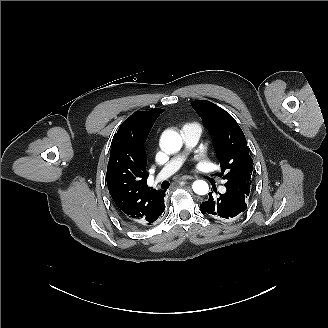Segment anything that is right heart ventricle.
Segmentation results:
<instances>
[{
  "label": "right heart ventricle",
  "instance_id": "e07e8e85",
  "mask_svg": "<svg viewBox=\"0 0 328 328\" xmlns=\"http://www.w3.org/2000/svg\"><path fill=\"white\" fill-rule=\"evenodd\" d=\"M184 126H188L190 128H193L195 130H197L199 132V134L201 135L203 132V126L201 125V123L197 122V121H192V122H188L186 124L183 125ZM182 127V128H183Z\"/></svg>",
  "mask_w": 328,
  "mask_h": 328
}]
</instances>
